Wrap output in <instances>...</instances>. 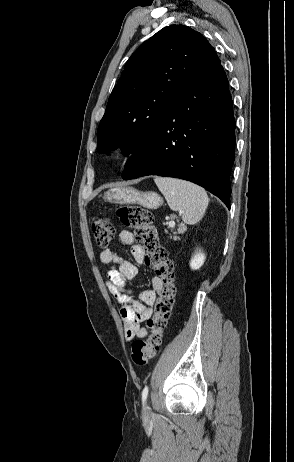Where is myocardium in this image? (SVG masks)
Returning a JSON list of instances; mask_svg holds the SVG:
<instances>
[{
  "label": "myocardium",
  "mask_w": 294,
  "mask_h": 462,
  "mask_svg": "<svg viewBox=\"0 0 294 462\" xmlns=\"http://www.w3.org/2000/svg\"><path fill=\"white\" fill-rule=\"evenodd\" d=\"M129 153H130V150L127 147L121 146L115 149L113 157L116 160H122L125 157H127Z\"/></svg>",
  "instance_id": "f54148a6"
}]
</instances>
